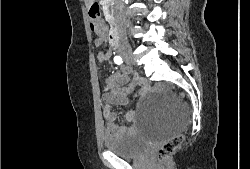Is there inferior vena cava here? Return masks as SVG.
I'll list each match as a JSON object with an SVG mask.
<instances>
[{"label": "inferior vena cava", "instance_id": "obj_1", "mask_svg": "<svg viewBox=\"0 0 250 169\" xmlns=\"http://www.w3.org/2000/svg\"><path fill=\"white\" fill-rule=\"evenodd\" d=\"M122 4H123L122 0H116L115 2V18L120 34H123V32H125V24H126L125 14L122 10Z\"/></svg>", "mask_w": 250, "mask_h": 169}]
</instances>
